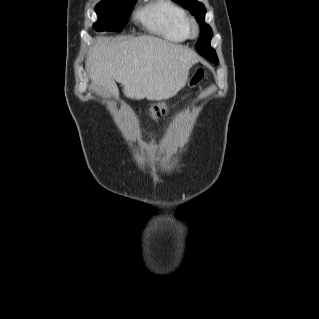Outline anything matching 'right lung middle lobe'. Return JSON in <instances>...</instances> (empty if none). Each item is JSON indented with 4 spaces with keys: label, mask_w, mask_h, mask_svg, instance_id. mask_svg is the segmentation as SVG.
<instances>
[{
    "label": "right lung middle lobe",
    "mask_w": 319,
    "mask_h": 319,
    "mask_svg": "<svg viewBox=\"0 0 319 319\" xmlns=\"http://www.w3.org/2000/svg\"><path fill=\"white\" fill-rule=\"evenodd\" d=\"M136 0H103L96 5L98 21L93 25L97 31L120 32L127 23V18Z\"/></svg>",
    "instance_id": "dd1d6c3e"
}]
</instances>
